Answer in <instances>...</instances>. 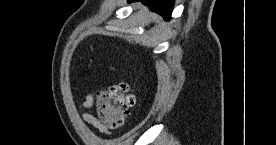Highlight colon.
<instances>
[{
    "label": "colon",
    "instance_id": "colon-1",
    "mask_svg": "<svg viewBox=\"0 0 276 145\" xmlns=\"http://www.w3.org/2000/svg\"><path fill=\"white\" fill-rule=\"evenodd\" d=\"M93 100L100 121L110 128L121 127L135 104V97L125 83L99 88Z\"/></svg>",
    "mask_w": 276,
    "mask_h": 145
}]
</instances>
